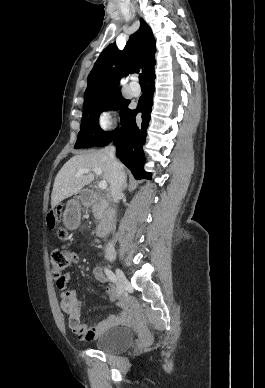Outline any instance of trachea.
I'll return each mask as SVG.
<instances>
[{
  "mask_svg": "<svg viewBox=\"0 0 265 388\" xmlns=\"http://www.w3.org/2000/svg\"><path fill=\"white\" fill-rule=\"evenodd\" d=\"M139 83L140 85L147 86V78L143 73H140L139 75Z\"/></svg>",
  "mask_w": 265,
  "mask_h": 388,
  "instance_id": "3493384b",
  "label": "trachea"
}]
</instances>
